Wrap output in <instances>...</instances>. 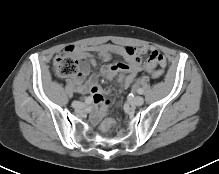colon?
<instances>
[{
    "label": "colon",
    "mask_w": 219,
    "mask_h": 174,
    "mask_svg": "<svg viewBox=\"0 0 219 174\" xmlns=\"http://www.w3.org/2000/svg\"><path fill=\"white\" fill-rule=\"evenodd\" d=\"M54 70L56 74L60 77H69L75 75L79 69V63L77 59L72 55L71 48H65L59 51L54 58ZM164 72L159 69L153 72L152 77L155 80H161L163 78ZM115 126V121L113 119H106L101 124V130L103 132H110Z\"/></svg>",
    "instance_id": "colon-1"
}]
</instances>
